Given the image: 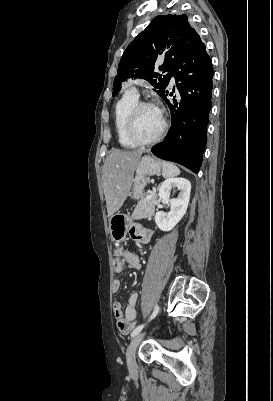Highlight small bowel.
<instances>
[{"mask_svg":"<svg viewBox=\"0 0 273 401\" xmlns=\"http://www.w3.org/2000/svg\"><path fill=\"white\" fill-rule=\"evenodd\" d=\"M129 236L134 239H146L150 237L152 231L150 228H130ZM114 272L121 274L125 271L126 265H128L133 270H138L140 268V260L137 254L132 251L123 249L122 247H116L114 250ZM121 281L115 279L112 283V290L118 292L121 289ZM139 302V294L133 292L129 295L127 306L125 309L122 308L120 302H115L114 304V317L116 322V328L120 333L130 332L137 319V306Z\"/></svg>","mask_w":273,"mask_h":401,"instance_id":"obj_1","label":"small bowel"}]
</instances>
